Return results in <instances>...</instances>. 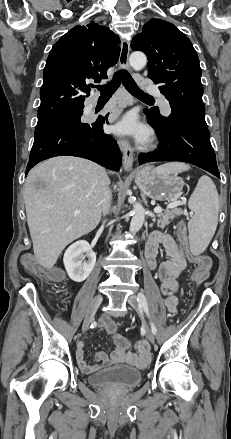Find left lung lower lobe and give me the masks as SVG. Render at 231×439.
Listing matches in <instances>:
<instances>
[{"label": "left lung lower lobe", "instance_id": "1", "mask_svg": "<svg viewBox=\"0 0 231 439\" xmlns=\"http://www.w3.org/2000/svg\"><path fill=\"white\" fill-rule=\"evenodd\" d=\"M148 122L159 138L157 150L139 155V164L154 161H181L196 165L220 178L208 128L185 119L172 117L162 124L147 110Z\"/></svg>", "mask_w": 231, "mask_h": 439}]
</instances>
